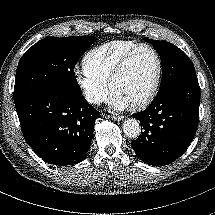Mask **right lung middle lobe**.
<instances>
[{"label":"right lung middle lobe","mask_w":215,"mask_h":215,"mask_svg":"<svg viewBox=\"0 0 215 215\" xmlns=\"http://www.w3.org/2000/svg\"><path fill=\"white\" fill-rule=\"evenodd\" d=\"M95 41L94 36L47 37L31 46L18 63L14 102L43 91L81 95L73 69Z\"/></svg>","instance_id":"right-lung-middle-lobe-1"}]
</instances>
